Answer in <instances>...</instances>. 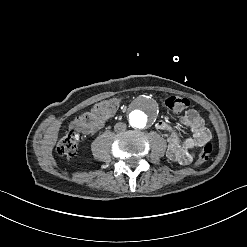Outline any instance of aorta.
<instances>
[{"instance_id": "aorta-1", "label": "aorta", "mask_w": 247, "mask_h": 247, "mask_svg": "<svg viewBox=\"0 0 247 247\" xmlns=\"http://www.w3.org/2000/svg\"><path fill=\"white\" fill-rule=\"evenodd\" d=\"M146 121V116L140 111L131 116V123L134 127L144 128L146 126Z\"/></svg>"}]
</instances>
